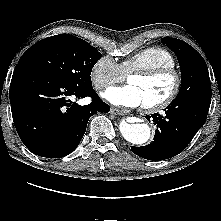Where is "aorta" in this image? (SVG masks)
<instances>
[{
  "instance_id": "762f6f07",
  "label": "aorta",
  "mask_w": 221,
  "mask_h": 221,
  "mask_svg": "<svg viewBox=\"0 0 221 221\" xmlns=\"http://www.w3.org/2000/svg\"><path fill=\"white\" fill-rule=\"evenodd\" d=\"M119 130L128 142L136 145L146 143L151 136V128L145 123H129L122 120L119 124Z\"/></svg>"
}]
</instances>
